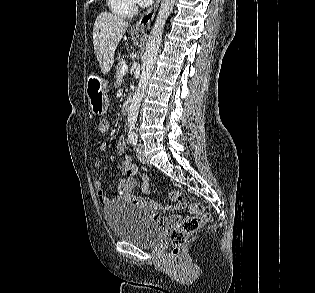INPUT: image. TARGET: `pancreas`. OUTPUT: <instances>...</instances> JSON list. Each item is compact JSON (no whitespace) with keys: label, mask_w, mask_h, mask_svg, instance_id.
I'll use <instances>...</instances> for the list:
<instances>
[{"label":"pancreas","mask_w":315,"mask_h":293,"mask_svg":"<svg viewBox=\"0 0 315 293\" xmlns=\"http://www.w3.org/2000/svg\"><path fill=\"white\" fill-rule=\"evenodd\" d=\"M124 64L125 62L123 60H120L116 67V82H115L116 86H120L123 81V75L121 74V69Z\"/></svg>","instance_id":"obj_1"}]
</instances>
